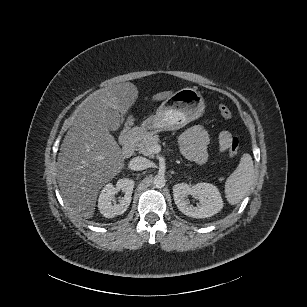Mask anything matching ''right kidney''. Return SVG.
Returning <instances> with one entry per match:
<instances>
[{
	"instance_id": "right-kidney-1",
	"label": "right kidney",
	"mask_w": 307,
	"mask_h": 307,
	"mask_svg": "<svg viewBox=\"0 0 307 307\" xmlns=\"http://www.w3.org/2000/svg\"><path fill=\"white\" fill-rule=\"evenodd\" d=\"M133 187L134 181L128 178L119 179L117 182V188H115L112 183H107L99 192L97 199L100 213L106 218H111L115 215L124 213L129 207ZM116 189H121L124 192V196L119 204L112 205L111 200L117 191Z\"/></svg>"
}]
</instances>
